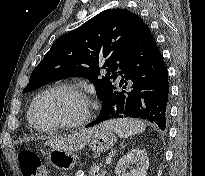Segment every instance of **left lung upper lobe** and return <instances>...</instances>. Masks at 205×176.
<instances>
[{"mask_svg":"<svg viewBox=\"0 0 205 176\" xmlns=\"http://www.w3.org/2000/svg\"><path fill=\"white\" fill-rule=\"evenodd\" d=\"M146 24L126 9L105 10L79 28L60 36L32 71L23 92L60 78L81 76L96 87L101 99L113 88L123 59L139 39ZM107 70L101 76L99 63ZM113 80V81H112Z\"/></svg>","mask_w":205,"mask_h":176,"instance_id":"1","label":"left lung upper lobe"}]
</instances>
